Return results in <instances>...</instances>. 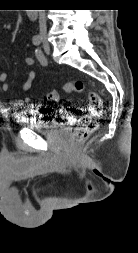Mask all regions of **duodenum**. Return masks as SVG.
<instances>
[{
  "label": "duodenum",
  "mask_w": 138,
  "mask_h": 253,
  "mask_svg": "<svg viewBox=\"0 0 138 253\" xmlns=\"http://www.w3.org/2000/svg\"><path fill=\"white\" fill-rule=\"evenodd\" d=\"M27 16L29 19L35 20L37 19L38 12L36 9H29V11L27 12Z\"/></svg>",
  "instance_id": "1"
}]
</instances>
